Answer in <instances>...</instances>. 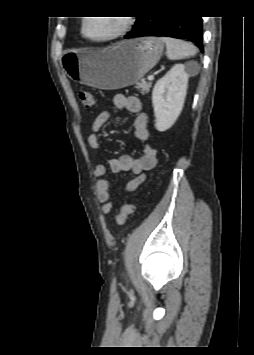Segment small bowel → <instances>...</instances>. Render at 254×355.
Returning <instances> with one entry per match:
<instances>
[{"label":"small bowel","instance_id":"c3829d8e","mask_svg":"<svg viewBox=\"0 0 254 355\" xmlns=\"http://www.w3.org/2000/svg\"><path fill=\"white\" fill-rule=\"evenodd\" d=\"M113 107L119 110L126 109L136 114L133 121L135 137L142 142H147L150 137L148 130V115L141 112L142 103L136 96H124L118 94L112 101ZM110 119L108 111L101 112L92 122L90 133L88 135V144L95 150H101L100 132ZM157 152L150 144H145L142 155L133 157L128 154L120 155L117 158L109 160V167L113 172L131 171L134 178L129 180L125 186L127 191H134L146 181V173L157 165ZM107 168L104 164H98L94 169V175L98 178L96 184L97 197L101 203V211L108 214L112 211L113 203L111 201L110 184L105 178Z\"/></svg>","mask_w":254,"mask_h":355}]
</instances>
